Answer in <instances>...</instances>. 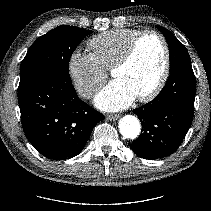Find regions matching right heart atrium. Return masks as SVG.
<instances>
[{"mask_svg":"<svg viewBox=\"0 0 211 211\" xmlns=\"http://www.w3.org/2000/svg\"><path fill=\"white\" fill-rule=\"evenodd\" d=\"M67 69L75 91L83 99L92 98L104 81V71L95 57L80 49L69 55Z\"/></svg>","mask_w":211,"mask_h":211,"instance_id":"d8ad5b80","label":"right heart atrium"}]
</instances>
